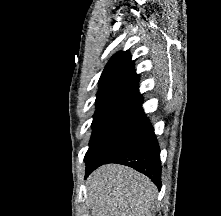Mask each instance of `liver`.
I'll list each match as a JSON object with an SVG mask.
<instances>
[{
	"mask_svg": "<svg viewBox=\"0 0 221 216\" xmlns=\"http://www.w3.org/2000/svg\"><path fill=\"white\" fill-rule=\"evenodd\" d=\"M158 189L132 168L108 164L87 179V199L92 216H152Z\"/></svg>",
	"mask_w": 221,
	"mask_h": 216,
	"instance_id": "obj_1",
	"label": "liver"
}]
</instances>
